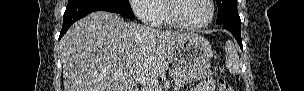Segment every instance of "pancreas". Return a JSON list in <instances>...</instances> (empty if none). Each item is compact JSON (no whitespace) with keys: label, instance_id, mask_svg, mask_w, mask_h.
I'll return each instance as SVG.
<instances>
[{"label":"pancreas","instance_id":"1","mask_svg":"<svg viewBox=\"0 0 304 91\" xmlns=\"http://www.w3.org/2000/svg\"><path fill=\"white\" fill-rule=\"evenodd\" d=\"M216 69L212 71L210 67L190 68L186 66H174L170 70V76L180 87L193 82L195 80H203L205 78H213L216 76Z\"/></svg>","mask_w":304,"mask_h":91}]
</instances>
